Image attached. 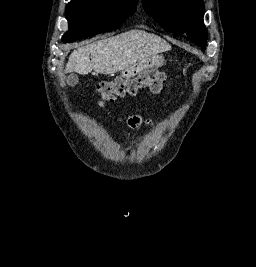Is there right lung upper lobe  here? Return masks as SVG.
Returning a JSON list of instances; mask_svg holds the SVG:
<instances>
[{
    "label": "right lung upper lobe",
    "instance_id": "1",
    "mask_svg": "<svg viewBox=\"0 0 256 267\" xmlns=\"http://www.w3.org/2000/svg\"><path fill=\"white\" fill-rule=\"evenodd\" d=\"M131 1H133V2H137L138 0H131Z\"/></svg>",
    "mask_w": 256,
    "mask_h": 267
}]
</instances>
